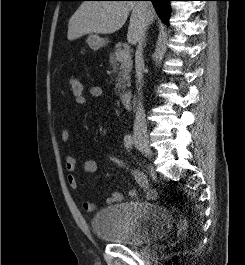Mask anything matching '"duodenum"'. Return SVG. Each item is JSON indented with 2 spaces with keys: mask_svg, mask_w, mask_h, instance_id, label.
<instances>
[{
  "mask_svg": "<svg viewBox=\"0 0 245 265\" xmlns=\"http://www.w3.org/2000/svg\"><path fill=\"white\" fill-rule=\"evenodd\" d=\"M132 98V93L129 91L122 93V102L125 108L129 109L132 106Z\"/></svg>",
  "mask_w": 245,
  "mask_h": 265,
  "instance_id": "duodenum-1",
  "label": "duodenum"
}]
</instances>
